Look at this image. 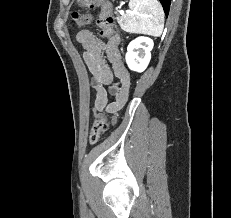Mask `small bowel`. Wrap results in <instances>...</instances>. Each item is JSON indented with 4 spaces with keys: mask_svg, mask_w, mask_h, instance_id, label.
Segmentation results:
<instances>
[{
    "mask_svg": "<svg viewBox=\"0 0 231 218\" xmlns=\"http://www.w3.org/2000/svg\"><path fill=\"white\" fill-rule=\"evenodd\" d=\"M76 39L83 46V59L91 73V85L95 92L94 112L116 114L127 102L130 88V76L118 50V38L105 42L92 31L81 30ZM115 77L119 80L118 85L114 84ZM109 94L114 96V101L110 103Z\"/></svg>",
    "mask_w": 231,
    "mask_h": 218,
    "instance_id": "small-bowel-1",
    "label": "small bowel"
}]
</instances>
